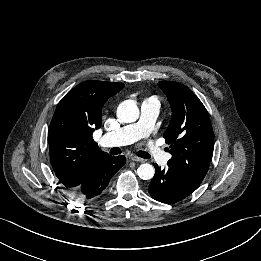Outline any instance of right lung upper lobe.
Listing matches in <instances>:
<instances>
[{
  "mask_svg": "<svg viewBox=\"0 0 261 261\" xmlns=\"http://www.w3.org/2000/svg\"><path fill=\"white\" fill-rule=\"evenodd\" d=\"M124 87L123 83L85 81L59 102L48 134L52 167L65 189L77 187L97 158L99 150L93 132L100 128L104 103Z\"/></svg>",
  "mask_w": 261,
  "mask_h": 261,
  "instance_id": "1",
  "label": "right lung upper lobe"
}]
</instances>
